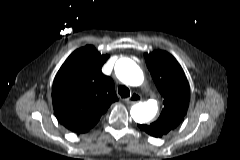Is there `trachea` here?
Returning <instances> with one entry per match:
<instances>
[{"label": "trachea", "mask_w": 240, "mask_h": 160, "mask_svg": "<svg viewBox=\"0 0 240 160\" xmlns=\"http://www.w3.org/2000/svg\"><path fill=\"white\" fill-rule=\"evenodd\" d=\"M118 93L122 98H127L130 96L129 88L124 85L119 86Z\"/></svg>", "instance_id": "obj_1"}]
</instances>
